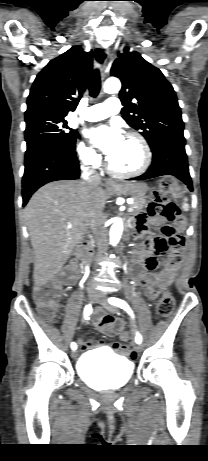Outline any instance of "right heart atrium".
Returning <instances> with one entry per match:
<instances>
[{
    "instance_id": "right-heart-atrium-1",
    "label": "right heart atrium",
    "mask_w": 208,
    "mask_h": 461,
    "mask_svg": "<svg viewBox=\"0 0 208 461\" xmlns=\"http://www.w3.org/2000/svg\"><path fill=\"white\" fill-rule=\"evenodd\" d=\"M77 156L80 164L86 168L95 169L101 163V156L84 142L78 144Z\"/></svg>"
}]
</instances>
